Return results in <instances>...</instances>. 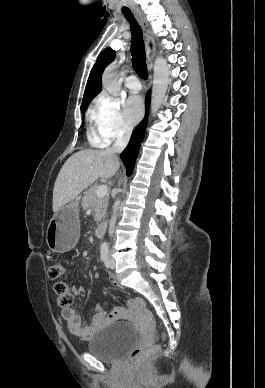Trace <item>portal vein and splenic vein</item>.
<instances>
[{
  "instance_id": "18ae733b",
  "label": "portal vein and splenic vein",
  "mask_w": 265,
  "mask_h": 388,
  "mask_svg": "<svg viewBox=\"0 0 265 388\" xmlns=\"http://www.w3.org/2000/svg\"><path fill=\"white\" fill-rule=\"evenodd\" d=\"M90 170H94L93 166H90ZM107 192V186H99V188L96 190V196L97 198H103V196H106Z\"/></svg>"
}]
</instances>
